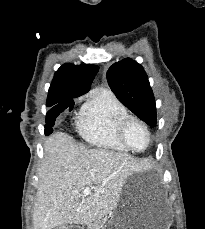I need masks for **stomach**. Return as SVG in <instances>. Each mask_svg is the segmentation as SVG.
<instances>
[{
  "mask_svg": "<svg viewBox=\"0 0 205 229\" xmlns=\"http://www.w3.org/2000/svg\"><path fill=\"white\" fill-rule=\"evenodd\" d=\"M170 206L154 195L139 194L130 183L123 188L110 218L102 229H169Z\"/></svg>",
  "mask_w": 205,
  "mask_h": 229,
  "instance_id": "1",
  "label": "stomach"
}]
</instances>
